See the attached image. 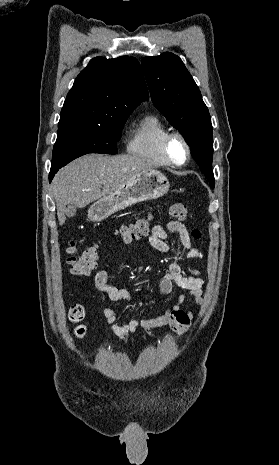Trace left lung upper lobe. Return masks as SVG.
<instances>
[{
    "label": "left lung upper lobe",
    "mask_w": 279,
    "mask_h": 465,
    "mask_svg": "<svg viewBox=\"0 0 279 465\" xmlns=\"http://www.w3.org/2000/svg\"><path fill=\"white\" fill-rule=\"evenodd\" d=\"M142 67L155 107L181 132L214 188L212 124L198 86L173 53L145 57Z\"/></svg>",
    "instance_id": "1"
}]
</instances>
